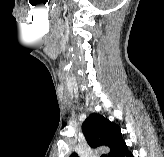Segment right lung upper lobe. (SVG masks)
<instances>
[{
  "mask_svg": "<svg viewBox=\"0 0 164 157\" xmlns=\"http://www.w3.org/2000/svg\"><path fill=\"white\" fill-rule=\"evenodd\" d=\"M82 130L91 147L107 146L110 148L106 157H114L124 142L120 127L96 113L91 114L84 121ZM69 157H78V155L72 153Z\"/></svg>",
  "mask_w": 164,
  "mask_h": 157,
  "instance_id": "cb5924a9",
  "label": "right lung upper lobe"
}]
</instances>
